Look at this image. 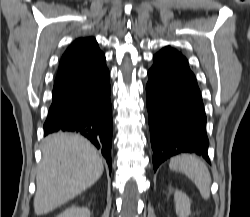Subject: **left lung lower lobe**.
<instances>
[{"label": "left lung lower lobe", "instance_id": "0a47b994", "mask_svg": "<svg viewBox=\"0 0 250 217\" xmlns=\"http://www.w3.org/2000/svg\"><path fill=\"white\" fill-rule=\"evenodd\" d=\"M146 86L154 171L180 153H196L210 162L206 115L187 59L167 46L154 55Z\"/></svg>", "mask_w": 250, "mask_h": 217}]
</instances>
